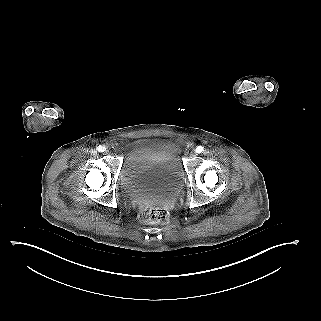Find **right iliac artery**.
<instances>
[{"label": "right iliac artery", "mask_w": 321, "mask_h": 321, "mask_svg": "<svg viewBox=\"0 0 321 321\" xmlns=\"http://www.w3.org/2000/svg\"><path fill=\"white\" fill-rule=\"evenodd\" d=\"M97 150L99 151V152H103V151H105V147H103V146H98L97 147Z\"/></svg>", "instance_id": "1"}]
</instances>
